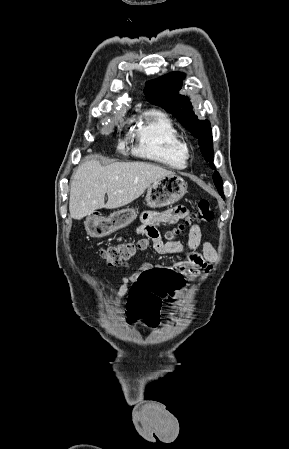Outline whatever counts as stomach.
<instances>
[{
  "label": "stomach",
  "mask_w": 289,
  "mask_h": 449,
  "mask_svg": "<svg viewBox=\"0 0 289 449\" xmlns=\"http://www.w3.org/2000/svg\"><path fill=\"white\" fill-rule=\"evenodd\" d=\"M186 193L187 184L182 177L175 174L165 176L149 186L146 202L151 208H161L178 202ZM136 217L134 208L115 211L108 217L90 216L85 221V229L90 236L103 238L128 226Z\"/></svg>",
  "instance_id": "0dacf381"
}]
</instances>
